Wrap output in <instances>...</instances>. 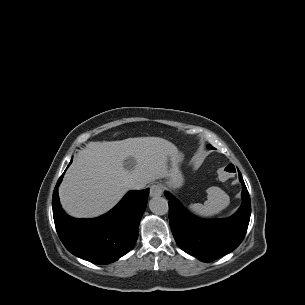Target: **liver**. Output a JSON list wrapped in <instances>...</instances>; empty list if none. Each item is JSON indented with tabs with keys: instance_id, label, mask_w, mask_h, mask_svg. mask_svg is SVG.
I'll return each instance as SVG.
<instances>
[{
	"instance_id": "obj_1",
	"label": "liver",
	"mask_w": 305,
	"mask_h": 305,
	"mask_svg": "<svg viewBox=\"0 0 305 305\" xmlns=\"http://www.w3.org/2000/svg\"><path fill=\"white\" fill-rule=\"evenodd\" d=\"M177 151L159 137L90 142L80 150L59 187L64 210L77 218L100 216L131 189L168 177V160Z\"/></svg>"
}]
</instances>
